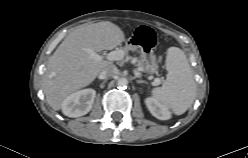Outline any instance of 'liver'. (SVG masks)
Here are the masks:
<instances>
[{"label":"liver","mask_w":248,"mask_h":158,"mask_svg":"<svg viewBox=\"0 0 248 158\" xmlns=\"http://www.w3.org/2000/svg\"><path fill=\"white\" fill-rule=\"evenodd\" d=\"M125 41L123 31L109 21L88 24L70 32L50 57L42 78L47 103L54 110L73 92L88 86L100 72L112 65L97 61L86 51L112 50Z\"/></svg>","instance_id":"obj_1"}]
</instances>
